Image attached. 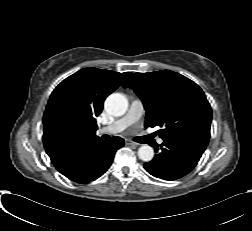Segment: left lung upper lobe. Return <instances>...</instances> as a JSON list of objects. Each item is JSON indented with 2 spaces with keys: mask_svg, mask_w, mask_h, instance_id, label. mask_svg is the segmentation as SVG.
<instances>
[{
  "mask_svg": "<svg viewBox=\"0 0 252 231\" xmlns=\"http://www.w3.org/2000/svg\"><path fill=\"white\" fill-rule=\"evenodd\" d=\"M142 100L146 127L160 126L162 139L184 134L210 137L211 107L201 88L185 76L170 71L135 73L125 83Z\"/></svg>",
  "mask_w": 252,
  "mask_h": 231,
  "instance_id": "left-lung-upper-lobe-1",
  "label": "left lung upper lobe"
}]
</instances>
